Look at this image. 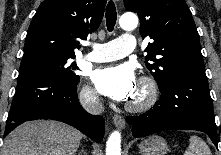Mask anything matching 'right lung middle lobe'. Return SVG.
Returning <instances> with one entry per match:
<instances>
[{"instance_id":"right-lung-middle-lobe-1","label":"right lung middle lobe","mask_w":221,"mask_h":155,"mask_svg":"<svg viewBox=\"0 0 221 155\" xmlns=\"http://www.w3.org/2000/svg\"><path fill=\"white\" fill-rule=\"evenodd\" d=\"M74 57H64L50 53H36L25 55L20 64V73L28 69H37L52 74L65 83H76L79 76L74 73L77 69L75 63H70Z\"/></svg>"}]
</instances>
